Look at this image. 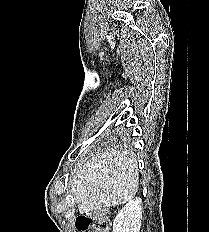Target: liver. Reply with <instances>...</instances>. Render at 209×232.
Returning <instances> with one entry per match:
<instances>
[{
	"mask_svg": "<svg viewBox=\"0 0 209 232\" xmlns=\"http://www.w3.org/2000/svg\"><path fill=\"white\" fill-rule=\"evenodd\" d=\"M137 159L128 151H104L83 162L70 180L80 213L130 201L139 186Z\"/></svg>",
	"mask_w": 209,
	"mask_h": 232,
	"instance_id": "6515ba94",
	"label": "liver"
}]
</instances>
